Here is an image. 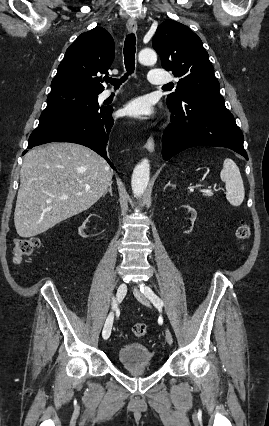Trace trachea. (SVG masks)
Wrapping results in <instances>:
<instances>
[{"instance_id":"obj_1","label":"trachea","mask_w":269,"mask_h":426,"mask_svg":"<svg viewBox=\"0 0 269 426\" xmlns=\"http://www.w3.org/2000/svg\"><path fill=\"white\" fill-rule=\"evenodd\" d=\"M136 38L133 33L127 35L124 42V62L127 73L121 79H112L105 77L106 82H110L115 88H118L122 82L126 81L128 75L132 74L135 69V52Z\"/></svg>"}]
</instances>
